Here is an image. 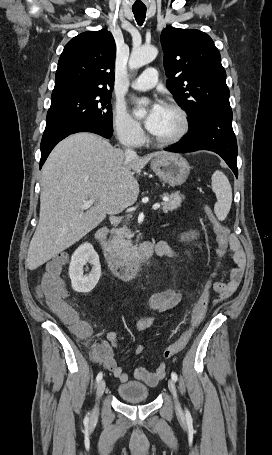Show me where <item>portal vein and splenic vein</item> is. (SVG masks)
<instances>
[{
	"label": "portal vein and splenic vein",
	"instance_id": "1",
	"mask_svg": "<svg viewBox=\"0 0 272 455\" xmlns=\"http://www.w3.org/2000/svg\"><path fill=\"white\" fill-rule=\"evenodd\" d=\"M94 203V200H88V201H85L82 205V209H88L90 208ZM160 207V204L159 203H156L153 205V210H157L158 208Z\"/></svg>",
	"mask_w": 272,
	"mask_h": 455
}]
</instances>
